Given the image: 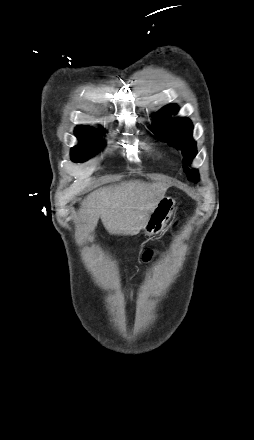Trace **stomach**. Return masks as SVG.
I'll use <instances>...</instances> for the list:
<instances>
[{"mask_svg": "<svg viewBox=\"0 0 254 440\" xmlns=\"http://www.w3.org/2000/svg\"><path fill=\"white\" fill-rule=\"evenodd\" d=\"M175 199L164 196L151 211L147 224L143 227L145 234L151 236L160 233L176 210Z\"/></svg>", "mask_w": 254, "mask_h": 440, "instance_id": "1", "label": "stomach"}]
</instances>
